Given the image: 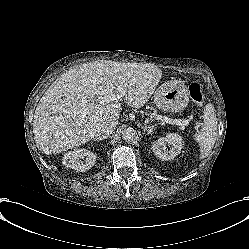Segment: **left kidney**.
<instances>
[{
  "instance_id": "5707ae66",
  "label": "left kidney",
  "mask_w": 249,
  "mask_h": 249,
  "mask_svg": "<svg viewBox=\"0 0 249 249\" xmlns=\"http://www.w3.org/2000/svg\"><path fill=\"white\" fill-rule=\"evenodd\" d=\"M184 148V141L178 133H169L152 143V151L157 158L165 161L173 160Z\"/></svg>"
}]
</instances>
